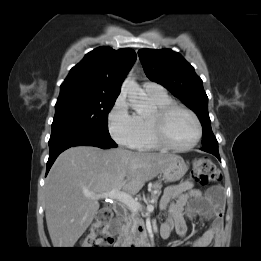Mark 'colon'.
<instances>
[{
  "mask_svg": "<svg viewBox=\"0 0 261 261\" xmlns=\"http://www.w3.org/2000/svg\"><path fill=\"white\" fill-rule=\"evenodd\" d=\"M219 169L207 157H199L194 161L192 178L200 184H208L220 179ZM113 218V211L109 206L103 207L97 214L96 220L81 241L83 249H91L100 244L105 236L107 225Z\"/></svg>",
  "mask_w": 261,
  "mask_h": 261,
  "instance_id": "5ec220e1",
  "label": "colon"
}]
</instances>
